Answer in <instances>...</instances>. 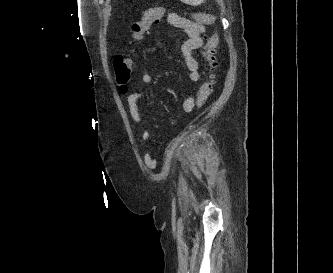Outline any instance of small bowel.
I'll list each match as a JSON object with an SVG mask.
<instances>
[{"label": "small bowel", "mask_w": 333, "mask_h": 273, "mask_svg": "<svg viewBox=\"0 0 333 273\" xmlns=\"http://www.w3.org/2000/svg\"><path fill=\"white\" fill-rule=\"evenodd\" d=\"M161 19L172 26L173 28L183 30L184 39L180 41L179 48L182 58L189 71V78L192 82L199 81L201 77V67L196 57L195 51L202 45L205 26L193 20L183 17L175 12H162ZM153 73L145 69L141 73V83L147 86L153 82ZM146 89L142 88L135 92L125 93L128 110L132 120L141 127L140 141H145L149 137L147 128L143 124V119L138 110L139 100L145 95ZM196 99L193 95H188L181 102V110L190 112L194 109ZM144 162L148 168H154L156 165L155 160L150 153L144 154Z\"/></svg>", "instance_id": "c3829d8e"}]
</instances>
